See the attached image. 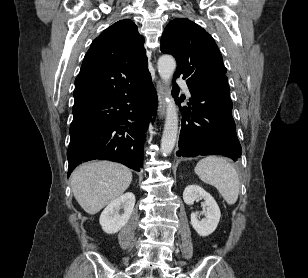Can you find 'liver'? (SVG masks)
<instances>
[{
    "label": "liver",
    "instance_id": "1",
    "mask_svg": "<svg viewBox=\"0 0 308 278\" xmlns=\"http://www.w3.org/2000/svg\"><path fill=\"white\" fill-rule=\"evenodd\" d=\"M132 181V172L122 164L94 161L77 167L71 188L79 205L89 214L98 213L122 196Z\"/></svg>",
    "mask_w": 308,
    "mask_h": 278
}]
</instances>
